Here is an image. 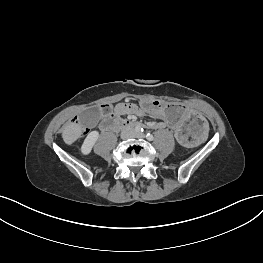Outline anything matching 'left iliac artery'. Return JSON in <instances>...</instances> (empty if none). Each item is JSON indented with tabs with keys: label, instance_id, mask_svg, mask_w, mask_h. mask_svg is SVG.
Here are the masks:
<instances>
[{
	"label": "left iliac artery",
	"instance_id": "1",
	"mask_svg": "<svg viewBox=\"0 0 263 263\" xmlns=\"http://www.w3.org/2000/svg\"><path fill=\"white\" fill-rule=\"evenodd\" d=\"M146 138H147V140L152 141L154 137H153L152 134L147 133V134H146Z\"/></svg>",
	"mask_w": 263,
	"mask_h": 263
}]
</instances>
